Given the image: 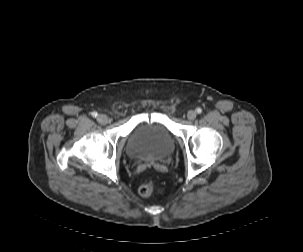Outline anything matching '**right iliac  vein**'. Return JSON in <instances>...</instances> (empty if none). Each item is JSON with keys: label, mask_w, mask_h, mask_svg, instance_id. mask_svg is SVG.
<instances>
[{"label": "right iliac vein", "mask_w": 303, "mask_h": 252, "mask_svg": "<svg viewBox=\"0 0 303 252\" xmlns=\"http://www.w3.org/2000/svg\"><path fill=\"white\" fill-rule=\"evenodd\" d=\"M108 117H107V115H105V114H100V115H98V117H97V121L100 123V124H107L108 123Z\"/></svg>", "instance_id": "63e3f726"}]
</instances>
